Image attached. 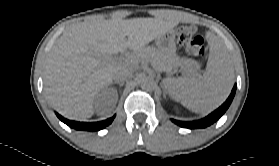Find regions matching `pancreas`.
I'll use <instances>...</instances> for the list:
<instances>
[{
    "label": "pancreas",
    "instance_id": "obj_1",
    "mask_svg": "<svg viewBox=\"0 0 279 166\" xmlns=\"http://www.w3.org/2000/svg\"><path fill=\"white\" fill-rule=\"evenodd\" d=\"M133 62L131 64H137L142 61H150L157 70L171 69L178 61V59L172 55L165 54L154 47H146L137 51L131 56ZM185 64L189 67H196V63L192 60H185Z\"/></svg>",
    "mask_w": 279,
    "mask_h": 166
}]
</instances>
